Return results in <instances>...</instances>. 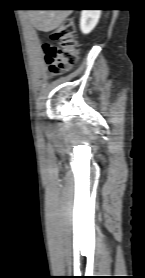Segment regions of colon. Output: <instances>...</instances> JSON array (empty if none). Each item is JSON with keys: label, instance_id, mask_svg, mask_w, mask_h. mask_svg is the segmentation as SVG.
<instances>
[{"label": "colon", "instance_id": "obj_1", "mask_svg": "<svg viewBox=\"0 0 145 278\" xmlns=\"http://www.w3.org/2000/svg\"><path fill=\"white\" fill-rule=\"evenodd\" d=\"M48 41L42 50L48 59V69L53 75L68 71L77 61L79 40L74 32V24L67 19L63 25L48 32Z\"/></svg>", "mask_w": 145, "mask_h": 278}]
</instances>
